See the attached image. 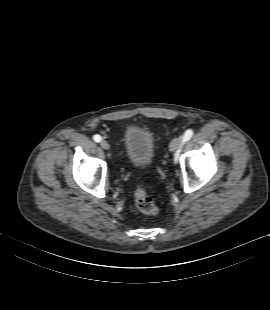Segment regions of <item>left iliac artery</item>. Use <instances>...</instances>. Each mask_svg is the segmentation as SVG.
<instances>
[{
  "label": "left iliac artery",
  "instance_id": "obj_1",
  "mask_svg": "<svg viewBox=\"0 0 270 310\" xmlns=\"http://www.w3.org/2000/svg\"><path fill=\"white\" fill-rule=\"evenodd\" d=\"M193 133H194V132H193L192 129H188V130L184 133L183 142L188 141V140L193 136ZM179 152H180V150H179L178 153L175 155V157H174V162H177L178 156H179Z\"/></svg>",
  "mask_w": 270,
  "mask_h": 310
}]
</instances>
